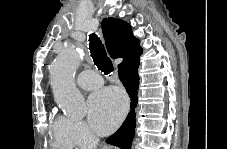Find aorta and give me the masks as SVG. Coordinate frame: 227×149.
<instances>
[{
	"label": "aorta",
	"mask_w": 227,
	"mask_h": 149,
	"mask_svg": "<svg viewBox=\"0 0 227 149\" xmlns=\"http://www.w3.org/2000/svg\"><path fill=\"white\" fill-rule=\"evenodd\" d=\"M79 63L78 51L74 47L67 46L50 68L54 100L65 114L72 117H83L85 114L84 98L74 82Z\"/></svg>",
	"instance_id": "1"
}]
</instances>
